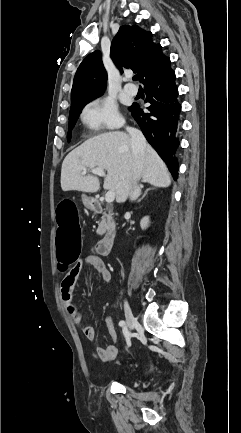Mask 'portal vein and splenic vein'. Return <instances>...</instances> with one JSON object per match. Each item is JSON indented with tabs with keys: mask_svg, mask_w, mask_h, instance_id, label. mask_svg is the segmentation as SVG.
<instances>
[{
	"mask_svg": "<svg viewBox=\"0 0 241 433\" xmlns=\"http://www.w3.org/2000/svg\"><path fill=\"white\" fill-rule=\"evenodd\" d=\"M91 173H93L95 175H98L100 177H104L105 176V173H104L103 169H100V168H94V169H92ZM85 174H87V170H83L82 171V175H85ZM114 199H115V192L114 191H108L106 193V195H105V201L107 203H112L114 201Z\"/></svg>",
	"mask_w": 241,
	"mask_h": 433,
	"instance_id": "18ae733b",
	"label": "portal vein and splenic vein"
}]
</instances>
